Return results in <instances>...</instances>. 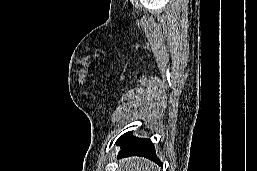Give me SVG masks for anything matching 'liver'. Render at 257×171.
I'll return each instance as SVG.
<instances>
[{"instance_id":"obj_1","label":"liver","mask_w":257,"mask_h":171,"mask_svg":"<svg viewBox=\"0 0 257 171\" xmlns=\"http://www.w3.org/2000/svg\"><path fill=\"white\" fill-rule=\"evenodd\" d=\"M157 167L149 160L140 157L127 158L123 171H157Z\"/></svg>"}]
</instances>
